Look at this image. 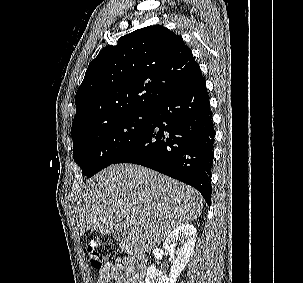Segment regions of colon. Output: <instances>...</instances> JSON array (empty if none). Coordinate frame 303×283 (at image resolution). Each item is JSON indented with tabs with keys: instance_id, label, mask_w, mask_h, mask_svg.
I'll use <instances>...</instances> for the list:
<instances>
[{
	"instance_id": "1",
	"label": "colon",
	"mask_w": 303,
	"mask_h": 283,
	"mask_svg": "<svg viewBox=\"0 0 303 283\" xmlns=\"http://www.w3.org/2000/svg\"><path fill=\"white\" fill-rule=\"evenodd\" d=\"M85 248L90 265L96 271H103L105 266L115 258V250L112 244L101 239L88 240Z\"/></svg>"
}]
</instances>
